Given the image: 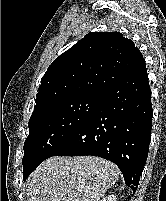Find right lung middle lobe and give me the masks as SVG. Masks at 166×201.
I'll return each mask as SVG.
<instances>
[{
  "instance_id": "1",
  "label": "right lung middle lobe",
  "mask_w": 166,
  "mask_h": 201,
  "mask_svg": "<svg viewBox=\"0 0 166 201\" xmlns=\"http://www.w3.org/2000/svg\"><path fill=\"white\" fill-rule=\"evenodd\" d=\"M102 95H82L60 102L29 120V135L24 143L23 179L98 106Z\"/></svg>"
}]
</instances>
